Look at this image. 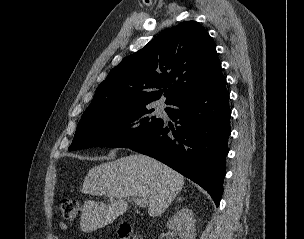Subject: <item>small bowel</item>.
Here are the masks:
<instances>
[{
    "instance_id": "obj_1",
    "label": "small bowel",
    "mask_w": 304,
    "mask_h": 239,
    "mask_svg": "<svg viewBox=\"0 0 304 239\" xmlns=\"http://www.w3.org/2000/svg\"><path fill=\"white\" fill-rule=\"evenodd\" d=\"M58 229L60 231H66L67 230V225L64 222H59L58 223ZM52 239H61L59 235L55 234L52 236Z\"/></svg>"
}]
</instances>
